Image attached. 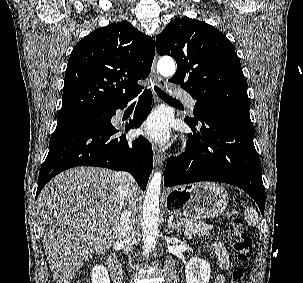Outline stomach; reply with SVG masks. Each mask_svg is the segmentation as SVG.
I'll return each instance as SVG.
<instances>
[{
	"mask_svg": "<svg viewBox=\"0 0 303 283\" xmlns=\"http://www.w3.org/2000/svg\"><path fill=\"white\" fill-rule=\"evenodd\" d=\"M228 204V194L215 183H196L176 187L166 194V209L193 219H212L220 216Z\"/></svg>",
	"mask_w": 303,
	"mask_h": 283,
	"instance_id": "0dacf381",
	"label": "stomach"
}]
</instances>
